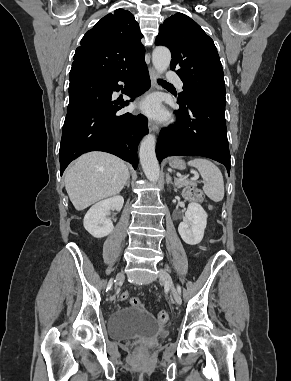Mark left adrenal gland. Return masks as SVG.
I'll return each mask as SVG.
<instances>
[{"label":"left adrenal gland","instance_id":"a2214340","mask_svg":"<svg viewBox=\"0 0 291 381\" xmlns=\"http://www.w3.org/2000/svg\"><path fill=\"white\" fill-rule=\"evenodd\" d=\"M166 176H167V178H166V183H167V184H169V183L173 184V186H174V191H177V188H179V185H178L176 182L173 183L172 178H171V176L169 175V173H168Z\"/></svg>","mask_w":291,"mask_h":381}]
</instances>
